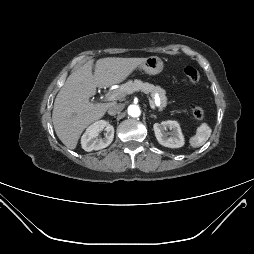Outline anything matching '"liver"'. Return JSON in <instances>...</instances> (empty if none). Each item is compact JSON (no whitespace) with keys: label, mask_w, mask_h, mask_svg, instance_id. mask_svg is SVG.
<instances>
[{"label":"liver","mask_w":254,"mask_h":254,"mask_svg":"<svg viewBox=\"0 0 254 254\" xmlns=\"http://www.w3.org/2000/svg\"><path fill=\"white\" fill-rule=\"evenodd\" d=\"M146 58L107 57L93 60L72 72L54 101L52 121L61 142L75 149L82 132L102 118L111 103H93L96 88H107L124 81Z\"/></svg>","instance_id":"obj_1"}]
</instances>
